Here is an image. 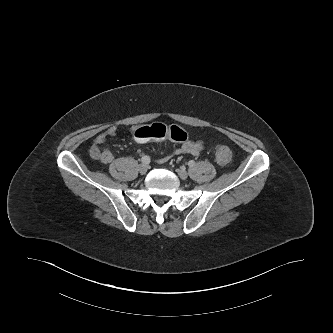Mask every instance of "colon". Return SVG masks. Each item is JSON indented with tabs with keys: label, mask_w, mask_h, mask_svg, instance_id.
<instances>
[{
	"label": "colon",
	"mask_w": 333,
	"mask_h": 333,
	"mask_svg": "<svg viewBox=\"0 0 333 333\" xmlns=\"http://www.w3.org/2000/svg\"><path fill=\"white\" fill-rule=\"evenodd\" d=\"M134 137L141 142L149 140H162L165 138L177 142H183L187 139V134L182 128L176 125L166 126L161 123H154L152 125L142 126L136 129ZM215 157L218 163L227 164L232 159V151L227 146H217Z\"/></svg>",
	"instance_id": "5ec220e1"
}]
</instances>
